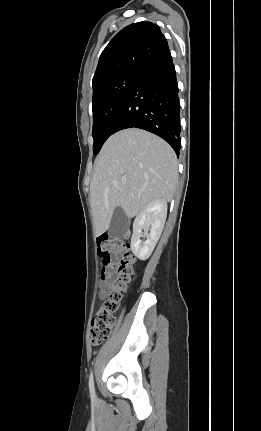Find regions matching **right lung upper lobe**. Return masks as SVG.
Segmentation results:
<instances>
[{"mask_svg":"<svg viewBox=\"0 0 261 431\" xmlns=\"http://www.w3.org/2000/svg\"><path fill=\"white\" fill-rule=\"evenodd\" d=\"M168 43L158 25L143 21L122 29L100 55L93 77V90L127 72H140L167 51Z\"/></svg>","mask_w":261,"mask_h":431,"instance_id":"right-lung-upper-lobe-1","label":"right lung upper lobe"}]
</instances>
